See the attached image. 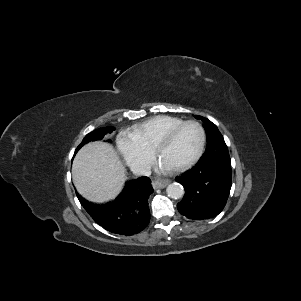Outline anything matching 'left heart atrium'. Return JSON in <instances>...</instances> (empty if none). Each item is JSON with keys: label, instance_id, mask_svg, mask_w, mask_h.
<instances>
[{"label": "left heart atrium", "instance_id": "left-heart-atrium-1", "mask_svg": "<svg viewBox=\"0 0 301 301\" xmlns=\"http://www.w3.org/2000/svg\"><path fill=\"white\" fill-rule=\"evenodd\" d=\"M161 167H162L163 169H169V168H171L170 166H168V165H166V164H164V163H161Z\"/></svg>", "mask_w": 301, "mask_h": 301}]
</instances>
